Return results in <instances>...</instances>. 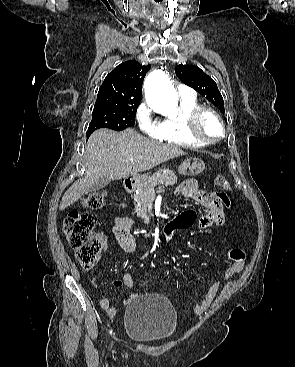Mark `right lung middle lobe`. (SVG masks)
Wrapping results in <instances>:
<instances>
[{
	"mask_svg": "<svg viewBox=\"0 0 295 367\" xmlns=\"http://www.w3.org/2000/svg\"><path fill=\"white\" fill-rule=\"evenodd\" d=\"M140 101L123 100L109 97H97L92 120L87 130V138L99 128H110L116 131L135 125V114Z\"/></svg>",
	"mask_w": 295,
	"mask_h": 367,
	"instance_id": "dd1d6c3e",
	"label": "right lung middle lobe"
}]
</instances>
